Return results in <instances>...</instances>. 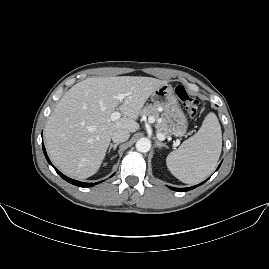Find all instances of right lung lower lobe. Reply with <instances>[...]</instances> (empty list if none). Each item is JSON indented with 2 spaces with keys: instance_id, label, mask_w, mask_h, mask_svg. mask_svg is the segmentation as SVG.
<instances>
[{
  "instance_id": "98d812e1",
  "label": "right lung lower lobe",
  "mask_w": 269,
  "mask_h": 269,
  "mask_svg": "<svg viewBox=\"0 0 269 269\" xmlns=\"http://www.w3.org/2000/svg\"><path fill=\"white\" fill-rule=\"evenodd\" d=\"M42 147H43V151H44V154H45V157L47 159V161L49 162V164L56 170V172L64 179L66 180L67 182L73 184V185H76V186H79V187H90V186H93L94 184H97V183H84V182H80V181H77V180H73L71 178H68L67 176L63 175L60 171H58L54 166L53 164L50 162L47 154H46V150H45V147L44 145L42 144Z\"/></svg>"
}]
</instances>
